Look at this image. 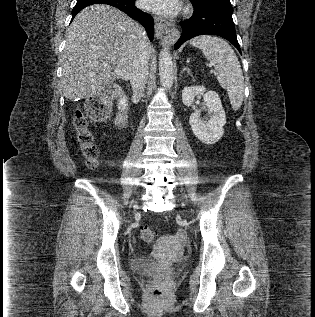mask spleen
<instances>
[{"label": "spleen", "instance_id": "3e777b00", "mask_svg": "<svg viewBox=\"0 0 315 317\" xmlns=\"http://www.w3.org/2000/svg\"><path fill=\"white\" fill-rule=\"evenodd\" d=\"M189 43L201 49L214 66L219 84L227 90L232 109L239 110L244 98V77L234 50L225 40L210 35L194 37Z\"/></svg>", "mask_w": 315, "mask_h": 317}]
</instances>
